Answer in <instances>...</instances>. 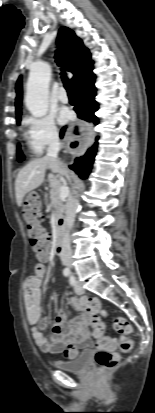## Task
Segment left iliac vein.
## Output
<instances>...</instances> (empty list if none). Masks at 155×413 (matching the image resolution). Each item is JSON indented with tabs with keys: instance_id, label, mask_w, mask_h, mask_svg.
<instances>
[{
	"instance_id": "left-iliac-vein-1",
	"label": "left iliac vein",
	"mask_w": 155,
	"mask_h": 413,
	"mask_svg": "<svg viewBox=\"0 0 155 413\" xmlns=\"http://www.w3.org/2000/svg\"><path fill=\"white\" fill-rule=\"evenodd\" d=\"M74 291L77 295H82L85 292L83 287L81 286V284L78 281L75 282Z\"/></svg>"
}]
</instances>
